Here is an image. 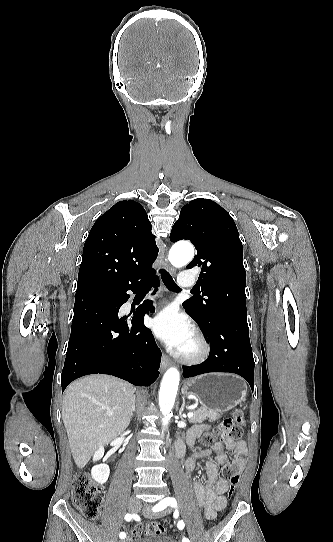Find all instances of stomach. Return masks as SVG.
Segmentation results:
<instances>
[{"label": "stomach", "instance_id": "1", "mask_svg": "<svg viewBox=\"0 0 333 542\" xmlns=\"http://www.w3.org/2000/svg\"><path fill=\"white\" fill-rule=\"evenodd\" d=\"M241 382V378L235 374H202L185 380L182 392L185 396H195L202 408L228 412L246 396Z\"/></svg>", "mask_w": 333, "mask_h": 542}]
</instances>
